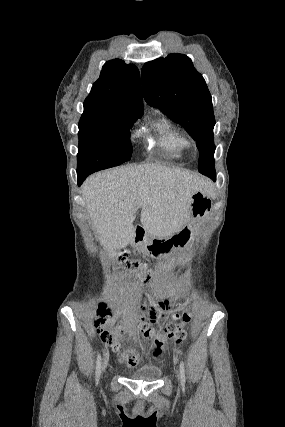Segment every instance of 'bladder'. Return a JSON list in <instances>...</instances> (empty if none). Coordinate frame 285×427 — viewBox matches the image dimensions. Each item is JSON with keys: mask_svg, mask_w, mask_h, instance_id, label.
Wrapping results in <instances>:
<instances>
[{"mask_svg": "<svg viewBox=\"0 0 285 427\" xmlns=\"http://www.w3.org/2000/svg\"><path fill=\"white\" fill-rule=\"evenodd\" d=\"M161 373V368L152 364L139 368L130 377L138 381L153 382L160 377Z\"/></svg>", "mask_w": 285, "mask_h": 427, "instance_id": "bladder-1", "label": "bladder"}]
</instances>
